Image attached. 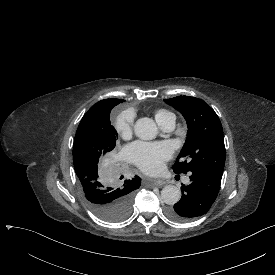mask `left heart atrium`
Returning <instances> with one entry per match:
<instances>
[{"label": "left heart atrium", "instance_id": "39dd6f15", "mask_svg": "<svg viewBox=\"0 0 275 275\" xmlns=\"http://www.w3.org/2000/svg\"><path fill=\"white\" fill-rule=\"evenodd\" d=\"M125 155L141 170L154 173L159 171L163 162L171 156V148L165 142H136L126 148Z\"/></svg>", "mask_w": 275, "mask_h": 275}]
</instances>
